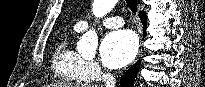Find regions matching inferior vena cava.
<instances>
[{
	"label": "inferior vena cava",
	"instance_id": "obj_1",
	"mask_svg": "<svg viewBox=\"0 0 205 87\" xmlns=\"http://www.w3.org/2000/svg\"><path fill=\"white\" fill-rule=\"evenodd\" d=\"M103 81L105 83V87H115L116 79L110 73L103 75Z\"/></svg>",
	"mask_w": 205,
	"mask_h": 87
}]
</instances>
